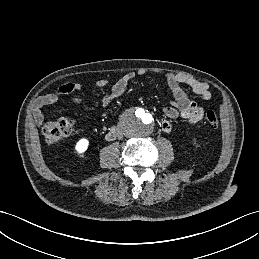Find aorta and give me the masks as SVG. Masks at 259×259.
Masks as SVG:
<instances>
[{
  "label": "aorta",
  "mask_w": 259,
  "mask_h": 259,
  "mask_svg": "<svg viewBox=\"0 0 259 259\" xmlns=\"http://www.w3.org/2000/svg\"><path fill=\"white\" fill-rule=\"evenodd\" d=\"M120 126L129 137L144 138L154 129V116L146 108H134L121 119Z\"/></svg>",
  "instance_id": "aorta-1"
}]
</instances>
